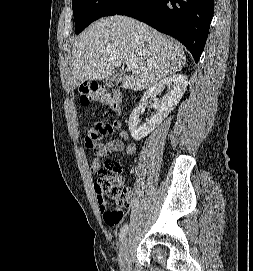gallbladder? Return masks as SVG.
Instances as JSON below:
<instances>
[{
    "instance_id": "1",
    "label": "gallbladder",
    "mask_w": 253,
    "mask_h": 271,
    "mask_svg": "<svg viewBox=\"0 0 253 271\" xmlns=\"http://www.w3.org/2000/svg\"><path fill=\"white\" fill-rule=\"evenodd\" d=\"M126 73L124 70H118L116 71L113 75H111L110 77H108L105 81V86H107L108 88L117 85L118 83H120L123 78L125 77Z\"/></svg>"
}]
</instances>
